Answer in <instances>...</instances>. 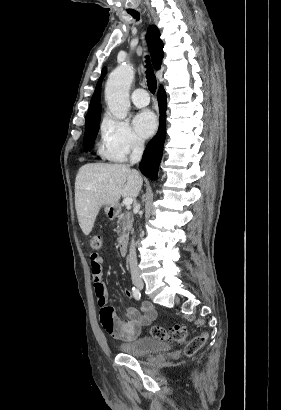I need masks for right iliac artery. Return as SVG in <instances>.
<instances>
[{"label":"right iliac artery","instance_id":"right-iliac-artery-1","mask_svg":"<svg viewBox=\"0 0 281 410\" xmlns=\"http://www.w3.org/2000/svg\"><path fill=\"white\" fill-rule=\"evenodd\" d=\"M132 292H133L134 298L137 299V300H139L140 297H141L140 291H139L137 288L133 287V288H132Z\"/></svg>","mask_w":281,"mask_h":410}]
</instances>
